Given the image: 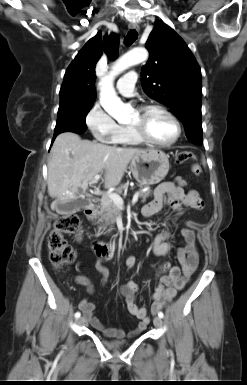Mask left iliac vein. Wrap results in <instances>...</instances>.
I'll return each instance as SVG.
<instances>
[{
  "mask_svg": "<svg viewBox=\"0 0 247 385\" xmlns=\"http://www.w3.org/2000/svg\"><path fill=\"white\" fill-rule=\"evenodd\" d=\"M153 322L156 327H161L163 325V320L159 316L155 317Z\"/></svg>",
  "mask_w": 247,
  "mask_h": 385,
  "instance_id": "obj_1",
  "label": "left iliac vein"
}]
</instances>
